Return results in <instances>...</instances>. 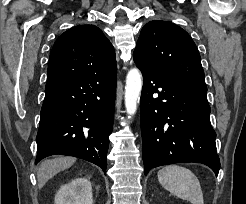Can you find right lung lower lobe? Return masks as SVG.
I'll return each mask as SVG.
<instances>
[{
    "instance_id": "right-lung-lower-lobe-1",
    "label": "right lung lower lobe",
    "mask_w": 246,
    "mask_h": 204,
    "mask_svg": "<svg viewBox=\"0 0 246 204\" xmlns=\"http://www.w3.org/2000/svg\"><path fill=\"white\" fill-rule=\"evenodd\" d=\"M116 81L117 70L47 81L35 164L62 154L92 162L106 173Z\"/></svg>"
}]
</instances>
